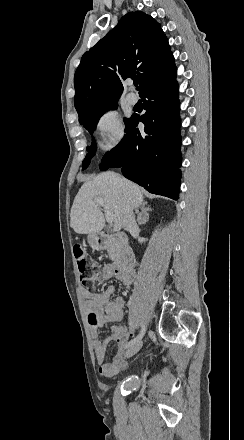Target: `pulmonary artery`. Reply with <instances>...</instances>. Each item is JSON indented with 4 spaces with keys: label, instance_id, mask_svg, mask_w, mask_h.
<instances>
[{
    "label": "pulmonary artery",
    "instance_id": "obj_1",
    "mask_svg": "<svg viewBox=\"0 0 244 440\" xmlns=\"http://www.w3.org/2000/svg\"><path fill=\"white\" fill-rule=\"evenodd\" d=\"M126 99L130 104H135L138 100L136 94L132 92L127 94Z\"/></svg>",
    "mask_w": 244,
    "mask_h": 440
}]
</instances>
